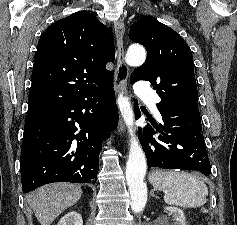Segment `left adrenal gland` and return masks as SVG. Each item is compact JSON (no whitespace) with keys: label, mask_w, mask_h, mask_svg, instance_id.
Masks as SVG:
<instances>
[{"label":"left adrenal gland","mask_w":237,"mask_h":225,"mask_svg":"<svg viewBox=\"0 0 237 225\" xmlns=\"http://www.w3.org/2000/svg\"><path fill=\"white\" fill-rule=\"evenodd\" d=\"M150 196L155 197L156 199H159V197L154 194V190L150 192Z\"/></svg>","instance_id":"obj_1"}]
</instances>
